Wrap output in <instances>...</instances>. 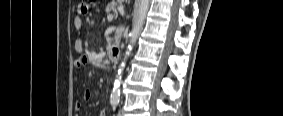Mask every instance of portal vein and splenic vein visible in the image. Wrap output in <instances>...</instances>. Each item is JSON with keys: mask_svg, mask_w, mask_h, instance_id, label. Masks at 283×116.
I'll return each instance as SVG.
<instances>
[{"mask_svg": "<svg viewBox=\"0 0 283 116\" xmlns=\"http://www.w3.org/2000/svg\"><path fill=\"white\" fill-rule=\"evenodd\" d=\"M107 20H108V21H112V20H113V15L109 14V15L107 16Z\"/></svg>", "mask_w": 283, "mask_h": 116, "instance_id": "obj_1", "label": "portal vein and splenic vein"}]
</instances>
